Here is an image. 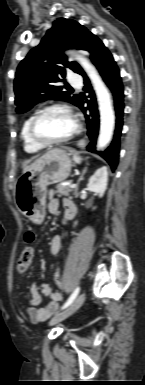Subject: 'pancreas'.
Instances as JSON below:
<instances>
[{"label":"pancreas","instance_id":"pancreas-1","mask_svg":"<svg viewBox=\"0 0 145 385\" xmlns=\"http://www.w3.org/2000/svg\"><path fill=\"white\" fill-rule=\"evenodd\" d=\"M73 191V188H71V185H60L56 187L55 193L58 195V197L61 196H69V194Z\"/></svg>","mask_w":145,"mask_h":385}]
</instances>
